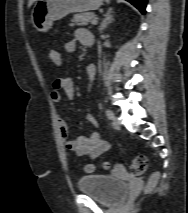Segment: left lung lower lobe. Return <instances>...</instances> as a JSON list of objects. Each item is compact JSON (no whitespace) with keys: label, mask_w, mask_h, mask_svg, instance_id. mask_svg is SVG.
I'll list each match as a JSON object with an SVG mask.
<instances>
[{"label":"left lung lower lobe","mask_w":188,"mask_h":213,"mask_svg":"<svg viewBox=\"0 0 188 213\" xmlns=\"http://www.w3.org/2000/svg\"><path fill=\"white\" fill-rule=\"evenodd\" d=\"M127 1H129L136 8H138L142 14H145V7L147 0H127Z\"/></svg>","instance_id":"left-lung-lower-lobe-1"}]
</instances>
